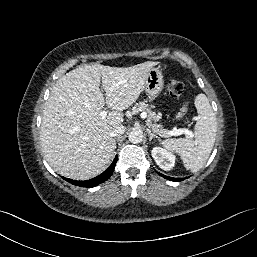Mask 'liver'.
I'll return each mask as SVG.
<instances>
[{
  "mask_svg": "<svg viewBox=\"0 0 257 257\" xmlns=\"http://www.w3.org/2000/svg\"><path fill=\"white\" fill-rule=\"evenodd\" d=\"M157 64L86 65L56 82L43 110L40 141L46 160L57 173L87 180L106 168L116 148L110 132L123 123L122 111L138 99L149 71ZM105 104L112 111L102 119Z\"/></svg>",
  "mask_w": 257,
  "mask_h": 257,
  "instance_id": "6515ba94",
  "label": "liver"
}]
</instances>
